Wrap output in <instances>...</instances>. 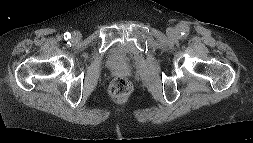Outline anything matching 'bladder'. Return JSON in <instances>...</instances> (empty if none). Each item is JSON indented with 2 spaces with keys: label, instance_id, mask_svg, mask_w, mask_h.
<instances>
[{
  "label": "bladder",
  "instance_id": "31cf9c89",
  "mask_svg": "<svg viewBox=\"0 0 253 143\" xmlns=\"http://www.w3.org/2000/svg\"><path fill=\"white\" fill-rule=\"evenodd\" d=\"M127 54L121 45H116L112 48L108 61L113 66H119L126 63Z\"/></svg>",
  "mask_w": 253,
  "mask_h": 143
}]
</instances>
